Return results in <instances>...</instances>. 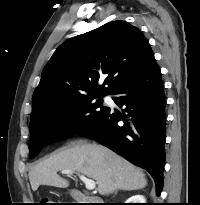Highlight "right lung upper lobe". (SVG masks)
Instances as JSON below:
<instances>
[{
	"mask_svg": "<svg viewBox=\"0 0 200 205\" xmlns=\"http://www.w3.org/2000/svg\"><path fill=\"white\" fill-rule=\"evenodd\" d=\"M154 60L148 40L125 21L109 22L73 37L57 48L43 69L30 119L59 101L112 94Z\"/></svg>",
	"mask_w": 200,
	"mask_h": 205,
	"instance_id": "obj_1",
	"label": "right lung upper lobe"
}]
</instances>
